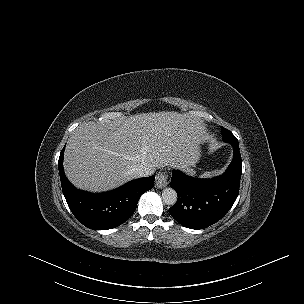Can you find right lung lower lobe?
I'll return each instance as SVG.
<instances>
[{
  "instance_id": "1",
  "label": "right lung lower lobe",
  "mask_w": 304,
  "mask_h": 304,
  "mask_svg": "<svg viewBox=\"0 0 304 304\" xmlns=\"http://www.w3.org/2000/svg\"><path fill=\"white\" fill-rule=\"evenodd\" d=\"M63 152L64 148L58 161L63 194L76 219L90 229L107 230L121 225L134 214L140 196L154 187L155 176H150L105 193L78 190L64 173Z\"/></svg>"
}]
</instances>
